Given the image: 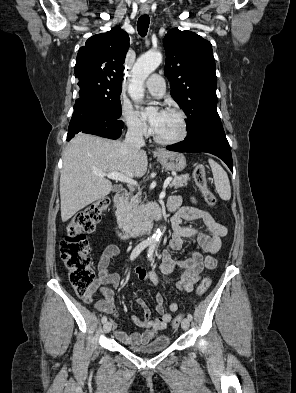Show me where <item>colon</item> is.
Returning a JSON list of instances; mask_svg holds the SVG:
<instances>
[{
    "instance_id": "5ec220e1",
    "label": "colon",
    "mask_w": 296,
    "mask_h": 393,
    "mask_svg": "<svg viewBox=\"0 0 296 393\" xmlns=\"http://www.w3.org/2000/svg\"><path fill=\"white\" fill-rule=\"evenodd\" d=\"M193 175L205 202L211 207L216 206V197L207 186L205 167L201 164L197 165ZM108 204L109 200L103 197L75 213L67 225V235L60 244V254L68 271L70 285L80 297L90 295L98 285L96 272L90 257V247L85 234L94 230ZM210 285V278H204L197 289V295H204ZM183 317V314L176 316L173 320V326L177 327Z\"/></svg>"
}]
</instances>
